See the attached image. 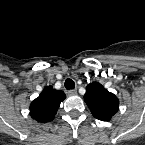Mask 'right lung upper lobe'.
I'll use <instances>...</instances> for the list:
<instances>
[{
  "label": "right lung upper lobe",
  "mask_w": 145,
  "mask_h": 145,
  "mask_svg": "<svg viewBox=\"0 0 145 145\" xmlns=\"http://www.w3.org/2000/svg\"><path fill=\"white\" fill-rule=\"evenodd\" d=\"M66 98L64 92L47 86L30 104V115L38 122L46 123L54 119L60 103Z\"/></svg>",
  "instance_id": "obj_1"
}]
</instances>
